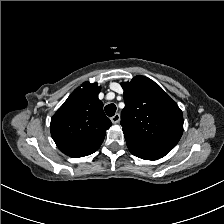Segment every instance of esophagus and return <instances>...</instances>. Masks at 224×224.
Returning <instances> with one entry per match:
<instances>
[{
  "mask_svg": "<svg viewBox=\"0 0 224 224\" xmlns=\"http://www.w3.org/2000/svg\"><path fill=\"white\" fill-rule=\"evenodd\" d=\"M110 120L113 124H117L120 121V114H114L112 117H110Z\"/></svg>",
  "mask_w": 224,
  "mask_h": 224,
  "instance_id": "esophagus-1",
  "label": "esophagus"
}]
</instances>
